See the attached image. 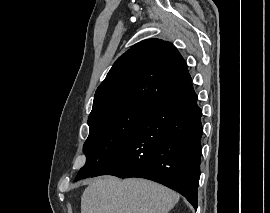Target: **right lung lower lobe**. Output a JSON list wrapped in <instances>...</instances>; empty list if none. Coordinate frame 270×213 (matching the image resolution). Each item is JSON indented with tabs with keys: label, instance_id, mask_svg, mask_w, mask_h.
<instances>
[{
	"label": "right lung lower lobe",
	"instance_id": "right-lung-lower-lobe-1",
	"mask_svg": "<svg viewBox=\"0 0 270 213\" xmlns=\"http://www.w3.org/2000/svg\"><path fill=\"white\" fill-rule=\"evenodd\" d=\"M202 111L191 81L159 102L129 140L91 177H139L182 194L197 209Z\"/></svg>",
	"mask_w": 270,
	"mask_h": 213
}]
</instances>
